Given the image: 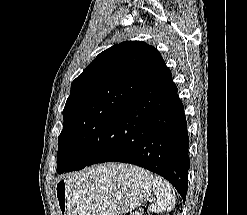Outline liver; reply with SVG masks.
Masks as SVG:
<instances>
[{
  "mask_svg": "<svg viewBox=\"0 0 247 215\" xmlns=\"http://www.w3.org/2000/svg\"><path fill=\"white\" fill-rule=\"evenodd\" d=\"M116 168H117V167L115 166V164H108V165H105V166L103 167V170L106 171L107 173H109V172L115 170ZM120 168H121V169H124L125 166H124V165H120Z\"/></svg>",
  "mask_w": 247,
  "mask_h": 215,
  "instance_id": "liver-1",
  "label": "liver"
}]
</instances>
